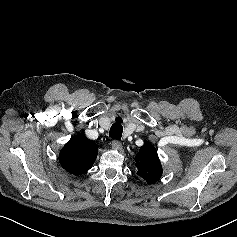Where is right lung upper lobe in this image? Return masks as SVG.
Returning <instances> with one entry per match:
<instances>
[{"label":"right lung upper lobe","mask_w":237,"mask_h":237,"mask_svg":"<svg viewBox=\"0 0 237 237\" xmlns=\"http://www.w3.org/2000/svg\"><path fill=\"white\" fill-rule=\"evenodd\" d=\"M98 155L96 144L83 135L72 137L60 152L62 167L71 174L87 172Z\"/></svg>","instance_id":"right-lung-upper-lobe-1"}]
</instances>
